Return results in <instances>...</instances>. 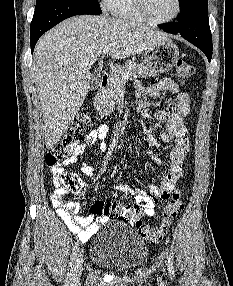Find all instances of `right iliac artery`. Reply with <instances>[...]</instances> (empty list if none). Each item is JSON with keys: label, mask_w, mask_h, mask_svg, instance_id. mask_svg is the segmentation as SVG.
<instances>
[{"label": "right iliac artery", "mask_w": 233, "mask_h": 286, "mask_svg": "<svg viewBox=\"0 0 233 286\" xmlns=\"http://www.w3.org/2000/svg\"><path fill=\"white\" fill-rule=\"evenodd\" d=\"M79 252V244L78 242H76L73 246L72 249V254H71V261L69 263V269L66 275V279H65V284L66 286H68L72 280V273H73V268H74V263L77 257V254Z\"/></svg>", "instance_id": "82829eb1"}]
</instances>
